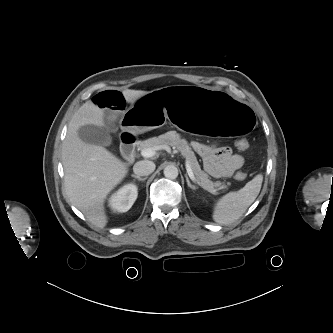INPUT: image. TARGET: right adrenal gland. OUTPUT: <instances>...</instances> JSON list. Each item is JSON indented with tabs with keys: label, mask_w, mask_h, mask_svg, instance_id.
<instances>
[{
	"label": "right adrenal gland",
	"mask_w": 333,
	"mask_h": 333,
	"mask_svg": "<svg viewBox=\"0 0 333 333\" xmlns=\"http://www.w3.org/2000/svg\"><path fill=\"white\" fill-rule=\"evenodd\" d=\"M131 176L138 179L139 181H145L147 179V177L142 178V177H140L138 175H135V174H132Z\"/></svg>",
	"instance_id": "obj_1"
}]
</instances>
